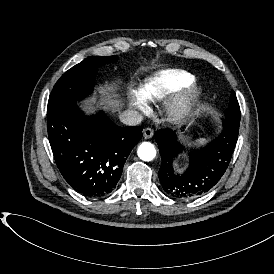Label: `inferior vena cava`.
I'll use <instances>...</instances> for the list:
<instances>
[{
  "label": "inferior vena cava",
  "mask_w": 274,
  "mask_h": 274,
  "mask_svg": "<svg viewBox=\"0 0 274 274\" xmlns=\"http://www.w3.org/2000/svg\"><path fill=\"white\" fill-rule=\"evenodd\" d=\"M119 118L122 123L129 126L139 125L144 120V117L135 110H124Z\"/></svg>",
  "instance_id": "inferior-vena-cava-1"
}]
</instances>
